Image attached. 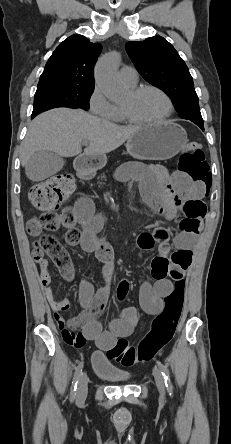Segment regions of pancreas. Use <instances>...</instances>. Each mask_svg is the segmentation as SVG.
<instances>
[{
	"label": "pancreas",
	"instance_id": "cf45deb5",
	"mask_svg": "<svg viewBox=\"0 0 231 444\" xmlns=\"http://www.w3.org/2000/svg\"><path fill=\"white\" fill-rule=\"evenodd\" d=\"M101 178H102V179H103V178L105 179V175L103 174Z\"/></svg>",
	"mask_w": 231,
	"mask_h": 444
}]
</instances>
